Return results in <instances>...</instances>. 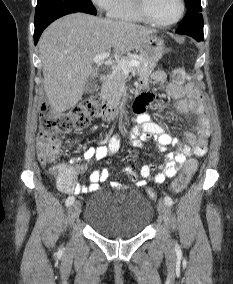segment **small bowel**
Here are the masks:
<instances>
[{"label":"small bowel","mask_w":233,"mask_h":284,"mask_svg":"<svg viewBox=\"0 0 233 284\" xmlns=\"http://www.w3.org/2000/svg\"><path fill=\"white\" fill-rule=\"evenodd\" d=\"M152 81L156 85H165L166 92L177 101L176 108L181 114L194 111L199 115L195 132H186V143H179L177 138L166 131L165 128L151 120L146 112V107L159 99L151 93H142L134 104V112L138 126L131 131V137L135 141H146L153 139L164 151L175 147V151L166 154L163 168L157 174H153L152 166L145 164L140 168L141 179H138L137 172L133 165L125 168L124 172L129 179L138 186H144L150 182L163 183L166 179L175 176L178 167L183 165L190 156L203 157L207 153V143L210 136V127L203 114L202 98L199 92L190 84L180 85L167 82V75L163 70H156L152 73ZM146 80L141 81V87L146 88ZM121 150L119 137L113 136L105 144L88 147L82 158H73L69 163L48 166V172L54 177L58 187L61 189V182L67 176L77 177L87 171L88 165L112 156ZM109 172L106 168H100L89 175L90 184L85 187L77 183L69 193H83L96 191L100 182L108 179Z\"/></svg>","instance_id":"small-bowel-1"}]
</instances>
